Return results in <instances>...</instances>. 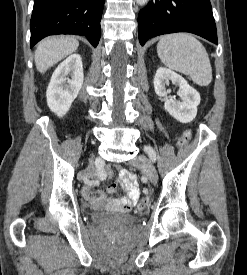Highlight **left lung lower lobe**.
Returning <instances> with one entry per match:
<instances>
[{
	"instance_id": "obj_1",
	"label": "left lung lower lobe",
	"mask_w": 247,
	"mask_h": 275,
	"mask_svg": "<svg viewBox=\"0 0 247 275\" xmlns=\"http://www.w3.org/2000/svg\"><path fill=\"white\" fill-rule=\"evenodd\" d=\"M174 32H190L217 44L210 0H151L139 12L142 46L152 37Z\"/></svg>"
}]
</instances>
